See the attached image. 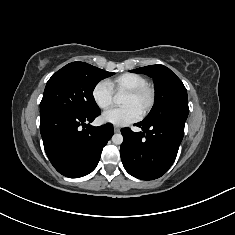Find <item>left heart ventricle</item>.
I'll use <instances>...</instances> for the list:
<instances>
[{"mask_svg":"<svg viewBox=\"0 0 235 235\" xmlns=\"http://www.w3.org/2000/svg\"><path fill=\"white\" fill-rule=\"evenodd\" d=\"M147 98L145 95L139 97H133L128 94H124L122 98V105H131L135 107L140 113L145 106Z\"/></svg>","mask_w":235,"mask_h":235,"instance_id":"left-heart-ventricle-1","label":"left heart ventricle"}]
</instances>
